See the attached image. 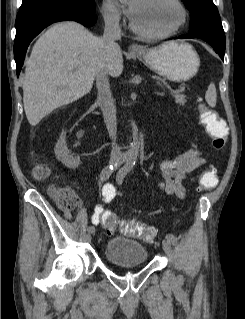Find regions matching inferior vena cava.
I'll return each instance as SVG.
<instances>
[{"mask_svg":"<svg viewBox=\"0 0 245 319\" xmlns=\"http://www.w3.org/2000/svg\"><path fill=\"white\" fill-rule=\"evenodd\" d=\"M105 28L102 44L107 57H113L120 52L117 40L121 39V29L119 26V14L116 12H107L104 15ZM96 85L101 96L102 112L104 122L108 130L109 137L112 140L111 161L119 162L122 158L121 148L117 144V119L116 108L111 97L110 84L106 67L100 68L96 73Z\"/></svg>","mask_w":245,"mask_h":319,"instance_id":"1","label":"inferior vena cava"}]
</instances>
